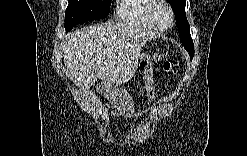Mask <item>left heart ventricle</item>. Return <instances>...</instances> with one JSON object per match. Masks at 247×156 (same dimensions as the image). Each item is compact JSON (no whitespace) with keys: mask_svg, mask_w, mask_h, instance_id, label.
<instances>
[{"mask_svg":"<svg viewBox=\"0 0 247 156\" xmlns=\"http://www.w3.org/2000/svg\"><path fill=\"white\" fill-rule=\"evenodd\" d=\"M156 18L157 21L161 24V25H168L170 22V17L168 14V11L164 8L161 7L160 9H158L157 13H156Z\"/></svg>","mask_w":247,"mask_h":156,"instance_id":"1","label":"left heart ventricle"}]
</instances>
